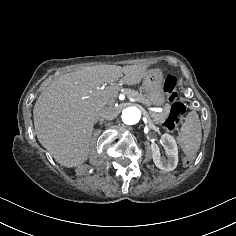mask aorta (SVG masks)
<instances>
[{
  "label": "aorta",
  "instance_id": "1",
  "mask_svg": "<svg viewBox=\"0 0 236 236\" xmlns=\"http://www.w3.org/2000/svg\"><path fill=\"white\" fill-rule=\"evenodd\" d=\"M141 110L135 106L127 107L122 111V121L127 125L137 124L141 119Z\"/></svg>",
  "mask_w": 236,
  "mask_h": 236
}]
</instances>
